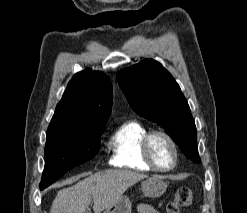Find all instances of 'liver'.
<instances>
[{
	"mask_svg": "<svg viewBox=\"0 0 247 213\" xmlns=\"http://www.w3.org/2000/svg\"><path fill=\"white\" fill-rule=\"evenodd\" d=\"M147 175L129 170H106L91 174L73 186L58 191L50 213H85L93 200V210L101 213L123 193Z\"/></svg>",
	"mask_w": 247,
	"mask_h": 213,
	"instance_id": "obj_1",
	"label": "liver"
}]
</instances>
